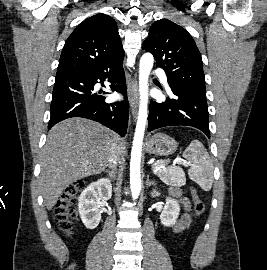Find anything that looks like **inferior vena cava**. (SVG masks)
I'll use <instances>...</instances> for the list:
<instances>
[{"label":"inferior vena cava","mask_w":267,"mask_h":270,"mask_svg":"<svg viewBox=\"0 0 267 270\" xmlns=\"http://www.w3.org/2000/svg\"><path fill=\"white\" fill-rule=\"evenodd\" d=\"M120 156H121V149L118 146L114 145L112 147L111 156H110V160H109V164H108V166L110 168V170H109L110 173L113 172L112 174H109V176L111 178L115 177V170H116V166H117V161L120 158Z\"/></svg>","instance_id":"1"}]
</instances>
